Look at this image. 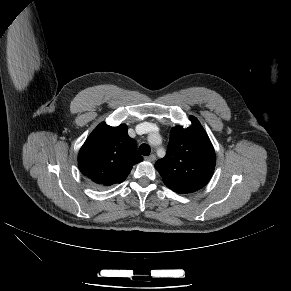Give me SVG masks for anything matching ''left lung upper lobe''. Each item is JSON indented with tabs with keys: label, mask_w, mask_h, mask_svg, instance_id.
<instances>
[{
	"label": "left lung upper lobe",
	"mask_w": 291,
	"mask_h": 291,
	"mask_svg": "<svg viewBox=\"0 0 291 291\" xmlns=\"http://www.w3.org/2000/svg\"><path fill=\"white\" fill-rule=\"evenodd\" d=\"M191 126L172 128L166 156L155 163L165 184L195 192L212 177L216 164L213 145L195 117Z\"/></svg>",
	"instance_id": "5c2ea615"
}]
</instances>
